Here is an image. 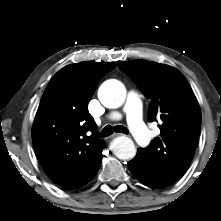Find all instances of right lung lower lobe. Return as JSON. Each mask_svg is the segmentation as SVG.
<instances>
[{
  "mask_svg": "<svg viewBox=\"0 0 221 221\" xmlns=\"http://www.w3.org/2000/svg\"><path fill=\"white\" fill-rule=\"evenodd\" d=\"M100 164H101V160L100 162L97 164V166L95 167V169L93 170V172L91 173L90 177L88 178V180L86 181V183H88L90 180H92V178L95 176V174L97 173L99 167H100ZM85 183V184H86Z\"/></svg>",
  "mask_w": 221,
  "mask_h": 221,
  "instance_id": "right-lung-lower-lobe-1",
  "label": "right lung lower lobe"
}]
</instances>
